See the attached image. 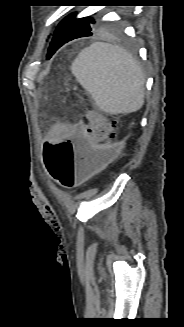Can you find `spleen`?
Returning <instances> with one entry per match:
<instances>
[{"label": "spleen", "instance_id": "3e777b00", "mask_svg": "<svg viewBox=\"0 0 184 327\" xmlns=\"http://www.w3.org/2000/svg\"><path fill=\"white\" fill-rule=\"evenodd\" d=\"M71 72L106 113L135 112L144 103L142 69L134 57L119 46L91 44L73 61Z\"/></svg>", "mask_w": 184, "mask_h": 327}]
</instances>
